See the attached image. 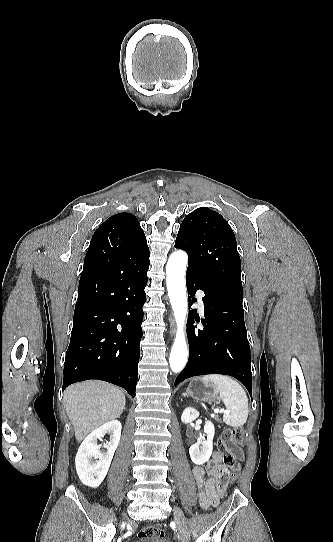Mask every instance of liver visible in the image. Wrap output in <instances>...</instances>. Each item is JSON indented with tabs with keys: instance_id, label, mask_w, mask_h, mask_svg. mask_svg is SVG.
I'll list each match as a JSON object with an SVG mask.
<instances>
[{
	"instance_id": "1",
	"label": "liver",
	"mask_w": 333,
	"mask_h": 542,
	"mask_svg": "<svg viewBox=\"0 0 333 542\" xmlns=\"http://www.w3.org/2000/svg\"><path fill=\"white\" fill-rule=\"evenodd\" d=\"M64 408L74 426L77 442H82L92 430L121 416L125 396L112 384L88 380L65 390Z\"/></svg>"
}]
</instances>
